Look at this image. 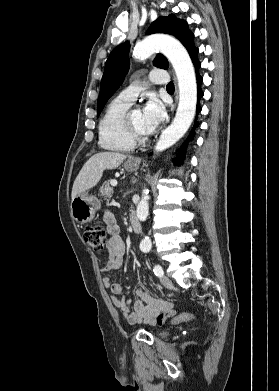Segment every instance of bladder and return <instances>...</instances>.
Instances as JSON below:
<instances>
[{
	"instance_id": "31cf9c89",
	"label": "bladder",
	"mask_w": 279,
	"mask_h": 391,
	"mask_svg": "<svg viewBox=\"0 0 279 391\" xmlns=\"http://www.w3.org/2000/svg\"><path fill=\"white\" fill-rule=\"evenodd\" d=\"M157 335L160 338H165V337H167L169 335V332H167V331H160V332H158Z\"/></svg>"
}]
</instances>
